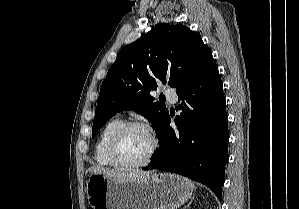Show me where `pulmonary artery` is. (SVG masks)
<instances>
[{"mask_svg": "<svg viewBox=\"0 0 299 209\" xmlns=\"http://www.w3.org/2000/svg\"><path fill=\"white\" fill-rule=\"evenodd\" d=\"M164 95L168 100L175 103L177 101V94L173 89L166 88L164 89Z\"/></svg>", "mask_w": 299, "mask_h": 209, "instance_id": "pulmonary-artery-1", "label": "pulmonary artery"}]
</instances>
